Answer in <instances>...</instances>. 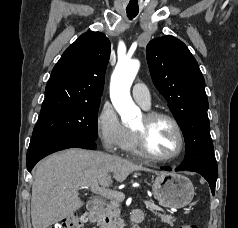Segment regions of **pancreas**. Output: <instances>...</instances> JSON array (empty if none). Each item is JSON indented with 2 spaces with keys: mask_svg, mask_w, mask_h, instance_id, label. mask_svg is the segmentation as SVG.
<instances>
[{
  "mask_svg": "<svg viewBox=\"0 0 238 228\" xmlns=\"http://www.w3.org/2000/svg\"><path fill=\"white\" fill-rule=\"evenodd\" d=\"M122 200H111L104 211L103 218L101 220V225L103 228H123L124 220L121 219L120 203ZM152 202V201H151ZM154 214L161 219L162 222L173 225L175 218L171 215H166L165 213L154 212ZM108 218L109 222L105 219Z\"/></svg>",
  "mask_w": 238,
  "mask_h": 228,
  "instance_id": "pancreas-1",
  "label": "pancreas"
}]
</instances>
